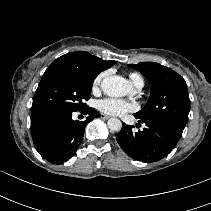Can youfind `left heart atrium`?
Segmentation results:
<instances>
[{
    "mask_svg": "<svg viewBox=\"0 0 211 211\" xmlns=\"http://www.w3.org/2000/svg\"><path fill=\"white\" fill-rule=\"evenodd\" d=\"M98 109L109 115H123L133 111L135 106L126 100L118 98H105L98 102Z\"/></svg>",
    "mask_w": 211,
    "mask_h": 211,
    "instance_id": "obj_1",
    "label": "left heart atrium"
}]
</instances>
